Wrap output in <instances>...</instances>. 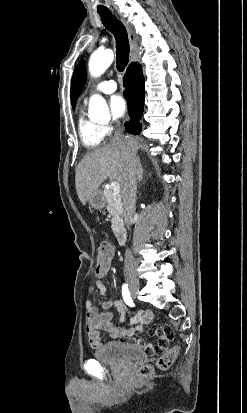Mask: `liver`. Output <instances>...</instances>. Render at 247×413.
<instances>
[{
	"instance_id": "6515ba94",
	"label": "liver",
	"mask_w": 247,
	"mask_h": 413,
	"mask_svg": "<svg viewBox=\"0 0 247 413\" xmlns=\"http://www.w3.org/2000/svg\"><path fill=\"white\" fill-rule=\"evenodd\" d=\"M136 144L138 146V140ZM126 158L125 144L119 142H109L84 154L75 174V186L82 204H86L90 194L98 190L108 176L122 182Z\"/></svg>"
}]
</instances>
